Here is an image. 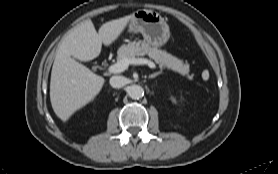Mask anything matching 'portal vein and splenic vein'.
<instances>
[{
    "label": "portal vein and splenic vein",
    "mask_w": 278,
    "mask_h": 174,
    "mask_svg": "<svg viewBox=\"0 0 278 174\" xmlns=\"http://www.w3.org/2000/svg\"><path fill=\"white\" fill-rule=\"evenodd\" d=\"M129 64H135V65L147 64L152 69L156 68V65L151 60L133 58L130 60L124 59L118 61L117 63L109 66L108 71L110 73H121L128 68Z\"/></svg>",
    "instance_id": "portal-vein-and-splenic-vein-1"
}]
</instances>
